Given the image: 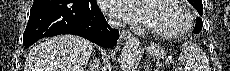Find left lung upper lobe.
Listing matches in <instances>:
<instances>
[{
  "instance_id": "obj_1",
  "label": "left lung upper lobe",
  "mask_w": 230,
  "mask_h": 71,
  "mask_svg": "<svg viewBox=\"0 0 230 71\" xmlns=\"http://www.w3.org/2000/svg\"><path fill=\"white\" fill-rule=\"evenodd\" d=\"M188 2L197 10V12L202 16L203 5L202 0H188Z\"/></svg>"
}]
</instances>
